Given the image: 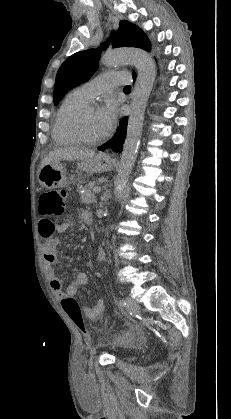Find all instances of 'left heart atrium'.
Masks as SVG:
<instances>
[{"mask_svg":"<svg viewBox=\"0 0 231 419\" xmlns=\"http://www.w3.org/2000/svg\"><path fill=\"white\" fill-rule=\"evenodd\" d=\"M99 117L105 133H108L114 126L117 119V105L113 99H108L99 110Z\"/></svg>","mask_w":231,"mask_h":419,"instance_id":"39dd6f15","label":"left heart atrium"}]
</instances>
